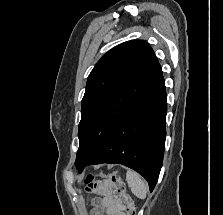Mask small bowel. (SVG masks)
<instances>
[{
	"instance_id": "c3829d8e",
	"label": "small bowel",
	"mask_w": 223,
	"mask_h": 215,
	"mask_svg": "<svg viewBox=\"0 0 223 215\" xmlns=\"http://www.w3.org/2000/svg\"><path fill=\"white\" fill-rule=\"evenodd\" d=\"M92 190L101 196L99 206L93 211L94 215H126L124 206L112 197V185L109 181L96 182Z\"/></svg>"
}]
</instances>
